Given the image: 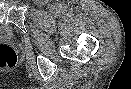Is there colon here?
<instances>
[{
    "mask_svg": "<svg viewBox=\"0 0 131 89\" xmlns=\"http://www.w3.org/2000/svg\"><path fill=\"white\" fill-rule=\"evenodd\" d=\"M16 63L15 51L8 45L0 44V68H13Z\"/></svg>",
    "mask_w": 131,
    "mask_h": 89,
    "instance_id": "obj_1",
    "label": "colon"
}]
</instances>
